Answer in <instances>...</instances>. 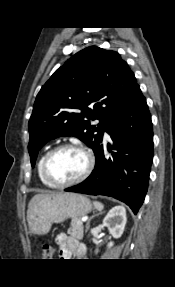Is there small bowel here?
Wrapping results in <instances>:
<instances>
[{
    "label": "small bowel",
    "instance_id": "1",
    "mask_svg": "<svg viewBox=\"0 0 175 287\" xmlns=\"http://www.w3.org/2000/svg\"><path fill=\"white\" fill-rule=\"evenodd\" d=\"M56 243L59 246V256L62 259H70L75 257L76 259H84L87 254V248L85 245L78 242L73 237H68L65 234H59L56 236Z\"/></svg>",
    "mask_w": 175,
    "mask_h": 287
}]
</instances>
